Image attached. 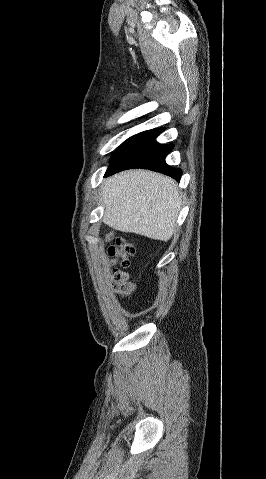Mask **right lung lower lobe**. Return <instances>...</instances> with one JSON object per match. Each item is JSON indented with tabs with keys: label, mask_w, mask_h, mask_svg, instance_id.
<instances>
[{
	"label": "right lung lower lobe",
	"mask_w": 266,
	"mask_h": 479,
	"mask_svg": "<svg viewBox=\"0 0 266 479\" xmlns=\"http://www.w3.org/2000/svg\"><path fill=\"white\" fill-rule=\"evenodd\" d=\"M162 131L164 128L144 131L123 142L112 155L105 177L126 169L144 168L163 173L179 181L181 169L173 168L165 162V157L173 149V144L156 142V137Z\"/></svg>",
	"instance_id": "1"
}]
</instances>
